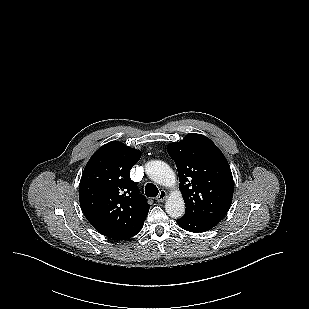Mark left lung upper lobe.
I'll use <instances>...</instances> for the list:
<instances>
[{"mask_svg": "<svg viewBox=\"0 0 309 309\" xmlns=\"http://www.w3.org/2000/svg\"><path fill=\"white\" fill-rule=\"evenodd\" d=\"M167 152L178 170L185 216L218 224L231 206L234 189L223 153L209 138L195 133L169 144Z\"/></svg>", "mask_w": 309, "mask_h": 309, "instance_id": "1", "label": "left lung upper lobe"}]
</instances>
